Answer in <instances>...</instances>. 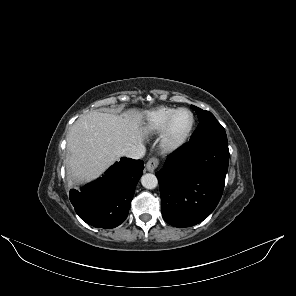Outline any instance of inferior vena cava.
<instances>
[{
  "mask_svg": "<svg viewBox=\"0 0 296 296\" xmlns=\"http://www.w3.org/2000/svg\"><path fill=\"white\" fill-rule=\"evenodd\" d=\"M145 154L144 146H132L123 150L122 155L132 158V159H140Z\"/></svg>",
  "mask_w": 296,
  "mask_h": 296,
  "instance_id": "1",
  "label": "inferior vena cava"
}]
</instances>
